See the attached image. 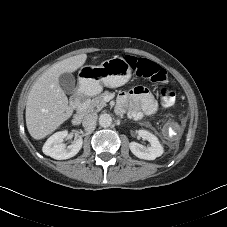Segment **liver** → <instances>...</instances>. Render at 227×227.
<instances>
[{"instance_id": "6515ba94", "label": "liver", "mask_w": 227, "mask_h": 227, "mask_svg": "<svg viewBox=\"0 0 227 227\" xmlns=\"http://www.w3.org/2000/svg\"><path fill=\"white\" fill-rule=\"evenodd\" d=\"M86 59V54H80L57 62L34 83L25 113L28 132L34 139L45 138L71 117L73 109L59 86V76L75 72Z\"/></svg>"}]
</instances>
